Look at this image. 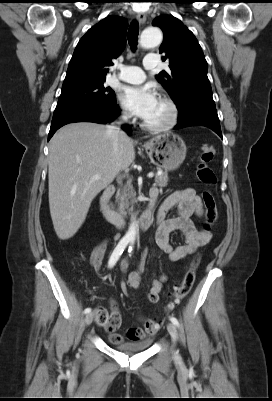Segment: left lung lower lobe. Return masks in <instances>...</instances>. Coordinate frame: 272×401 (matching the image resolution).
<instances>
[{
    "instance_id": "0a47b994",
    "label": "left lung lower lobe",
    "mask_w": 272,
    "mask_h": 401,
    "mask_svg": "<svg viewBox=\"0 0 272 401\" xmlns=\"http://www.w3.org/2000/svg\"><path fill=\"white\" fill-rule=\"evenodd\" d=\"M178 111V124L174 129L195 125L205 126L212 129L223 139L214 102H191Z\"/></svg>"
}]
</instances>
